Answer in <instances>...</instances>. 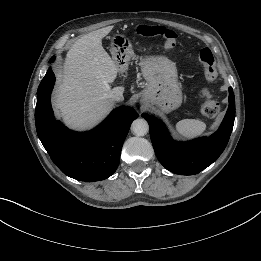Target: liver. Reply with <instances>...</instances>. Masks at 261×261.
<instances>
[{
	"instance_id": "liver-1",
	"label": "liver",
	"mask_w": 261,
	"mask_h": 261,
	"mask_svg": "<svg viewBox=\"0 0 261 261\" xmlns=\"http://www.w3.org/2000/svg\"><path fill=\"white\" fill-rule=\"evenodd\" d=\"M107 33L99 29L84 35L66 55L54 106L71 128L83 130L97 124L114 105L109 94L124 92V87L110 86L118 67L102 46Z\"/></svg>"
}]
</instances>
